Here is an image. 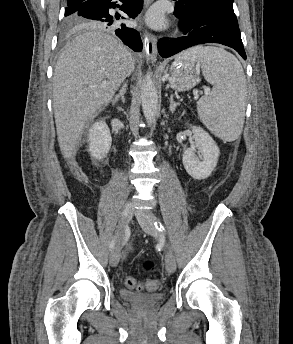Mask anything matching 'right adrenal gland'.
<instances>
[{
    "mask_svg": "<svg viewBox=\"0 0 293 344\" xmlns=\"http://www.w3.org/2000/svg\"><path fill=\"white\" fill-rule=\"evenodd\" d=\"M126 89H127V83H124L121 90L119 91V93L117 95H115L114 99H113V104L117 103L120 99L123 103H125V93H126Z\"/></svg>",
    "mask_w": 293,
    "mask_h": 344,
    "instance_id": "right-adrenal-gland-1",
    "label": "right adrenal gland"
}]
</instances>
